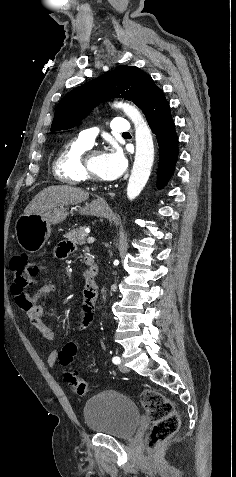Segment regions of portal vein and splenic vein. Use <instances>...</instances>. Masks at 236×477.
Wrapping results in <instances>:
<instances>
[{
    "mask_svg": "<svg viewBox=\"0 0 236 477\" xmlns=\"http://www.w3.org/2000/svg\"><path fill=\"white\" fill-rule=\"evenodd\" d=\"M94 241H95V238H94V237H88V238H87V242H88L89 244L93 243Z\"/></svg>",
    "mask_w": 236,
    "mask_h": 477,
    "instance_id": "portal-vein-and-splenic-vein-1",
    "label": "portal vein and splenic vein"
}]
</instances>
